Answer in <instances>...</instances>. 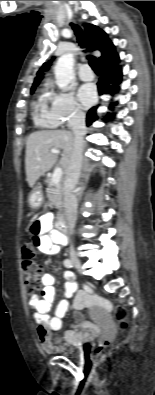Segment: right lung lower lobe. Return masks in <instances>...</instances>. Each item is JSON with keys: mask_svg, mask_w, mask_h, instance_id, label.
<instances>
[{"mask_svg": "<svg viewBox=\"0 0 155 395\" xmlns=\"http://www.w3.org/2000/svg\"><path fill=\"white\" fill-rule=\"evenodd\" d=\"M118 62L119 58H116L112 61L99 65L102 74V77L97 83L100 95L105 93H115L117 91L116 85L121 82L122 77L121 68L117 65ZM109 84H114V86H109ZM97 108L98 106H95L89 110L86 118L88 126L98 119L96 113ZM106 118H109V114L106 116Z\"/></svg>", "mask_w": 155, "mask_h": 395, "instance_id": "1", "label": "right lung lower lobe"}]
</instances>
